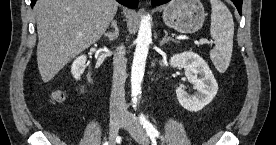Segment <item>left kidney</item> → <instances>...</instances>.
<instances>
[{
    "instance_id": "1",
    "label": "left kidney",
    "mask_w": 276,
    "mask_h": 145,
    "mask_svg": "<svg viewBox=\"0 0 276 145\" xmlns=\"http://www.w3.org/2000/svg\"><path fill=\"white\" fill-rule=\"evenodd\" d=\"M170 65L173 68H184L187 79L197 89L194 95H189L182 87L176 88L177 99L183 108L197 112L213 100L218 91V84L202 57L192 51H185L171 57Z\"/></svg>"
}]
</instances>
